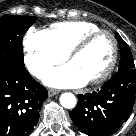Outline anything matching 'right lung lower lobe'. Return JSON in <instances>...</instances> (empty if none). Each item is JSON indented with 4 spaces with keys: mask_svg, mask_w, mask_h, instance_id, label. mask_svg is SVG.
Segmentation results:
<instances>
[{
    "mask_svg": "<svg viewBox=\"0 0 136 136\" xmlns=\"http://www.w3.org/2000/svg\"><path fill=\"white\" fill-rule=\"evenodd\" d=\"M47 97L24 67L0 68V136H28Z\"/></svg>",
    "mask_w": 136,
    "mask_h": 136,
    "instance_id": "obj_1",
    "label": "right lung lower lobe"
}]
</instances>
